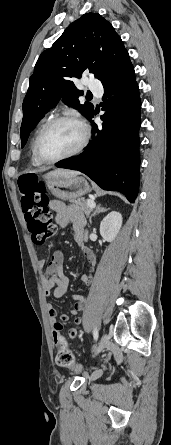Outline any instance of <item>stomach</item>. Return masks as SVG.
I'll use <instances>...</instances> for the list:
<instances>
[{"label": "stomach", "instance_id": "stomach-1", "mask_svg": "<svg viewBox=\"0 0 171 445\" xmlns=\"http://www.w3.org/2000/svg\"><path fill=\"white\" fill-rule=\"evenodd\" d=\"M45 181L52 195L60 200H75L92 190L81 176L46 175Z\"/></svg>", "mask_w": 171, "mask_h": 445}]
</instances>
